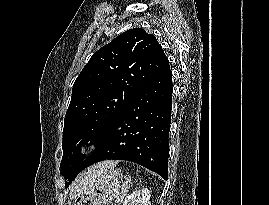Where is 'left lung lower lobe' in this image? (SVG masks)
Wrapping results in <instances>:
<instances>
[{
    "label": "left lung lower lobe",
    "mask_w": 269,
    "mask_h": 205,
    "mask_svg": "<svg viewBox=\"0 0 269 205\" xmlns=\"http://www.w3.org/2000/svg\"><path fill=\"white\" fill-rule=\"evenodd\" d=\"M172 91L168 61L157 77L110 124L96 143V149L78 166L73 179L90 165L112 159L140 164L167 180Z\"/></svg>",
    "instance_id": "0a47b994"
}]
</instances>
